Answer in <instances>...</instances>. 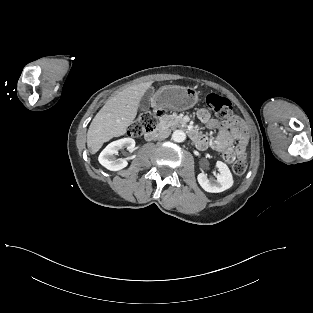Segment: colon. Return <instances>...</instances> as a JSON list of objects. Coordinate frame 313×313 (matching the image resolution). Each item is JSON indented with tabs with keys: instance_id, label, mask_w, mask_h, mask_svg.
Returning a JSON list of instances; mask_svg holds the SVG:
<instances>
[{
	"instance_id": "1",
	"label": "colon",
	"mask_w": 313,
	"mask_h": 313,
	"mask_svg": "<svg viewBox=\"0 0 313 313\" xmlns=\"http://www.w3.org/2000/svg\"><path fill=\"white\" fill-rule=\"evenodd\" d=\"M206 103L210 109L218 113L220 116H228L232 110L231 102L218 94H209L206 98ZM161 115L160 111L143 110L139 113L137 118L129 127V135L138 137L157 128L158 117ZM226 161L232 163V170L236 175H242L246 172L247 161L245 158H236L232 152L223 154Z\"/></svg>"
}]
</instances>
